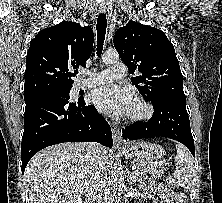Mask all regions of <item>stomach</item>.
I'll return each instance as SVG.
<instances>
[{
  "mask_svg": "<svg viewBox=\"0 0 222 203\" xmlns=\"http://www.w3.org/2000/svg\"><path fill=\"white\" fill-rule=\"evenodd\" d=\"M123 152L128 158L135 159L136 161H152L161 158L165 154L162 146L143 141L125 147Z\"/></svg>",
  "mask_w": 222,
  "mask_h": 203,
  "instance_id": "obj_1",
  "label": "stomach"
}]
</instances>
